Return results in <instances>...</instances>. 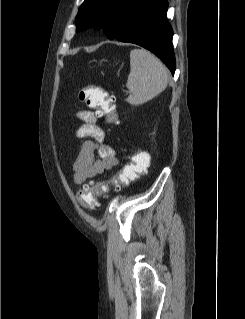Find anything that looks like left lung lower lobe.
Listing matches in <instances>:
<instances>
[{
  "instance_id": "obj_1",
  "label": "left lung lower lobe",
  "mask_w": 245,
  "mask_h": 319,
  "mask_svg": "<svg viewBox=\"0 0 245 319\" xmlns=\"http://www.w3.org/2000/svg\"><path fill=\"white\" fill-rule=\"evenodd\" d=\"M167 8V0H146L130 14L114 39L148 49L174 74L173 31L166 19Z\"/></svg>"
}]
</instances>
